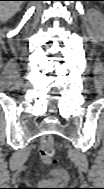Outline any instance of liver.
I'll return each instance as SVG.
<instances>
[{"mask_svg": "<svg viewBox=\"0 0 104 189\" xmlns=\"http://www.w3.org/2000/svg\"><path fill=\"white\" fill-rule=\"evenodd\" d=\"M22 1H1L0 18L2 21L11 19L20 9Z\"/></svg>", "mask_w": 104, "mask_h": 189, "instance_id": "obj_1", "label": "liver"}]
</instances>
